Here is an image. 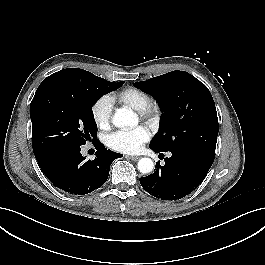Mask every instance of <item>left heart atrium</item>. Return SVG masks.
<instances>
[{
  "label": "left heart atrium",
  "instance_id": "1",
  "mask_svg": "<svg viewBox=\"0 0 265 265\" xmlns=\"http://www.w3.org/2000/svg\"><path fill=\"white\" fill-rule=\"evenodd\" d=\"M150 134L144 126H137L129 130H118L106 138L107 145L123 153H136L149 140Z\"/></svg>",
  "mask_w": 265,
  "mask_h": 265
}]
</instances>
